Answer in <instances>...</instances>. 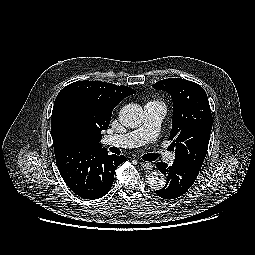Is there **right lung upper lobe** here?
I'll return each instance as SVG.
<instances>
[{
	"label": "right lung upper lobe",
	"mask_w": 255,
	"mask_h": 255,
	"mask_svg": "<svg viewBox=\"0 0 255 255\" xmlns=\"http://www.w3.org/2000/svg\"><path fill=\"white\" fill-rule=\"evenodd\" d=\"M135 90L101 81H76L65 86L57 95L51 117V133L54 151L63 148H102L101 132L108 129L112 110ZM68 111L80 118L82 128L75 143L63 134L62 122Z\"/></svg>",
	"instance_id": "obj_1"
}]
</instances>
